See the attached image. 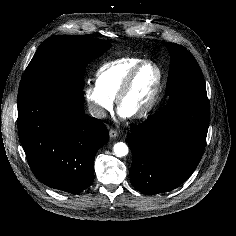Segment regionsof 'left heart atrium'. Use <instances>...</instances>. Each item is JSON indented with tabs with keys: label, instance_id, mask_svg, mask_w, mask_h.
<instances>
[{
	"label": "left heart atrium",
	"instance_id": "obj_1",
	"mask_svg": "<svg viewBox=\"0 0 236 236\" xmlns=\"http://www.w3.org/2000/svg\"><path fill=\"white\" fill-rule=\"evenodd\" d=\"M119 115H120L121 118H126V116H127V115H126L125 113H123L121 110H120V112H119Z\"/></svg>",
	"mask_w": 236,
	"mask_h": 236
}]
</instances>
